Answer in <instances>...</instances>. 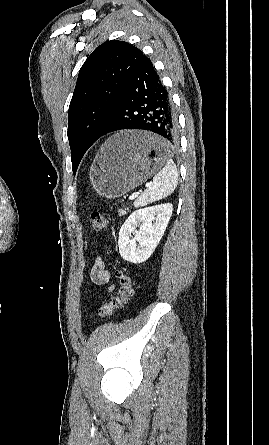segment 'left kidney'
<instances>
[{
    "label": "left kidney",
    "mask_w": 269,
    "mask_h": 445,
    "mask_svg": "<svg viewBox=\"0 0 269 445\" xmlns=\"http://www.w3.org/2000/svg\"><path fill=\"white\" fill-rule=\"evenodd\" d=\"M171 203L147 207L133 212L119 232V253L131 263H142L154 252L160 242L170 217ZM140 229L137 230V226ZM131 234L134 238L131 239Z\"/></svg>",
    "instance_id": "obj_1"
}]
</instances>
